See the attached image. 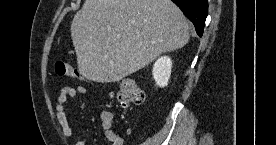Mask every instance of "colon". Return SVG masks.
<instances>
[{
    "label": "colon",
    "mask_w": 276,
    "mask_h": 145,
    "mask_svg": "<svg viewBox=\"0 0 276 145\" xmlns=\"http://www.w3.org/2000/svg\"><path fill=\"white\" fill-rule=\"evenodd\" d=\"M56 73L60 76L70 78H81L79 71L74 68L67 60H58L55 64ZM116 97L121 104L139 105L144 102V92L140 86L131 78L124 77L119 82V87L116 91Z\"/></svg>",
    "instance_id": "5ec220e1"
}]
</instances>
